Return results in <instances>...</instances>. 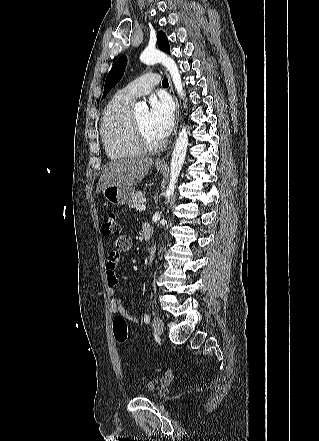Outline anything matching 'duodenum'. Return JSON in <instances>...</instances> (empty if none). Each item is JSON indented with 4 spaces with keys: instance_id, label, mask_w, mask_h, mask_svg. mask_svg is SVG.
<instances>
[{
    "instance_id": "410a0bca",
    "label": "duodenum",
    "mask_w": 319,
    "mask_h": 441,
    "mask_svg": "<svg viewBox=\"0 0 319 441\" xmlns=\"http://www.w3.org/2000/svg\"><path fill=\"white\" fill-rule=\"evenodd\" d=\"M153 228L150 224L145 223L143 225V237L145 240H149L152 237Z\"/></svg>"
}]
</instances>
